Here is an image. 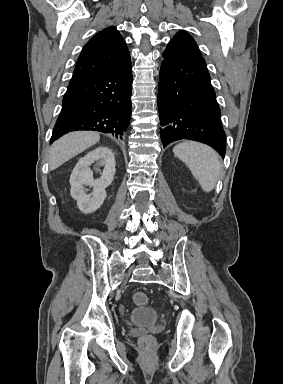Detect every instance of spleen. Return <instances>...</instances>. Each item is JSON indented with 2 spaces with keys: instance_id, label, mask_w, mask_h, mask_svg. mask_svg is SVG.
Returning <instances> with one entry per match:
<instances>
[{
  "instance_id": "spleen-1",
  "label": "spleen",
  "mask_w": 283,
  "mask_h": 384,
  "mask_svg": "<svg viewBox=\"0 0 283 384\" xmlns=\"http://www.w3.org/2000/svg\"><path fill=\"white\" fill-rule=\"evenodd\" d=\"M173 152L188 166L204 192H211L215 188L220 176L221 164L213 148L198 142H183L175 146Z\"/></svg>"
}]
</instances>
